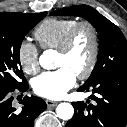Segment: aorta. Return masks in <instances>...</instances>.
<instances>
[{
	"mask_svg": "<svg viewBox=\"0 0 127 127\" xmlns=\"http://www.w3.org/2000/svg\"><path fill=\"white\" fill-rule=\"evenodd\" d=\"M39 63L44 69L52 67V58L48 52H44L40 58ZM57 116L62 120H69L73 117L74 108L70 103H60L56 108Z\"/></svg>",
	"mask_w": 127,
	"mask_h": 127,
	"instance_id": "762f6f07",
	"label": "aorta"
}]
</instances>
